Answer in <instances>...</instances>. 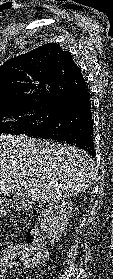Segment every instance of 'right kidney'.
Instances as JSON below:
<instances>
[{
    "label": "right kidney",
    "mask_w": 113,
    "mask_h": 279,
    "mask_svg": "<svg viewBox=\"0 0 113 279\" xmlns=\"http://www.w3.org/2000/svg\"><path fill=\"white\" fill-rule=\"evenodd\" d=\"M72 210V202L62 201L48 204L40 213L41 229L51 239V243L58 241L65 233Z\"/></svg>",
    "instance_id": "right-kidney-1"
}]
</instances>
